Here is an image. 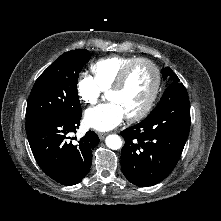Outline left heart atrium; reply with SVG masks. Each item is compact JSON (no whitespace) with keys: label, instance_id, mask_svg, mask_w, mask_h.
I'll return each instance as SVG.
<instances>
[{"label":"left heart atrium","instance_id":"1","mask_svg":"<svg viewBox=\"0 0 221 221\" xmlns=\"http://www.w3.org/2000/svg\"><path fill=\"white\" fill-rule=\"evenodd\" d=\"M125 114L115 102H109L99 105L95 108L88 109L85 113V124L98 131H108L119 125Z\"/></svg>","mask_w":221,"mask_h":221}]
</instances>
